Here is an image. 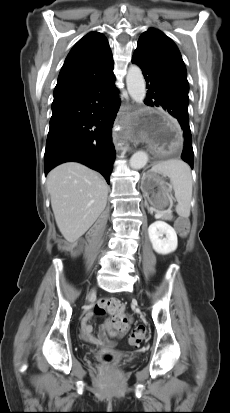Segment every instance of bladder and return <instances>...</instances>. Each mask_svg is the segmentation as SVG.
Returning a JSON list of instances; mask_svg holds the SVG:
<instances>
[{"instance_id":"bladder-1","label":"bladder","mask_w":230,"mask_h":413,"mask_svg":"<svg viewBox=\"0 0 230 413\" xmlns=\"http://www.w3.org/2000/svg\"><path fill=\"white\" fill-rule=\"evenodd\" d=\"M122 357H123L125 362H130L132 360L131 357H128V356H125V355H122Z\"/></svg>"}]
</instances>
